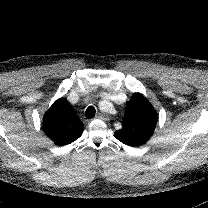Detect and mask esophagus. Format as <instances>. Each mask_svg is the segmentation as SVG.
Returning a JSON list of instances; mask_svg holds the SVG:
<instances>
[{
  "instance_id": "34e87169",
  "label": "esophagus",
  "mask_w": 208,
  "mask_h": 208,
  "mask_svg": "<svg viewBox=\"0 0 208 208\" xmlns=\"http://www.w3.org/2000/svg\"><path fill=\"white\" fill-rule=\"evenodd\" d=\"M95 119L108 120V117L107 115L100 113L95 116Z\"/></svg>"
}]
</instances>
